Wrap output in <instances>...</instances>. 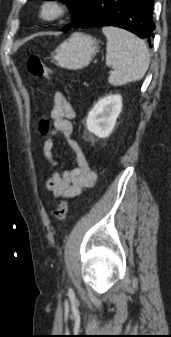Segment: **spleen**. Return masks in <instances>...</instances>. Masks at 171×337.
<instances>
[{
  "label": "spleen",
  "mask_w": 171,
  "mask_h": 337,
  "mask_svg": "<svg viewBox=\"0 0 171 337\" xmlns=\"http://www.w3.org/2000/svg\"><path fill=\"white\" fill-rule=\"evenodd\" d=\"M107 38L106 65L113 67L108 82L113 86L141 80L150 63L146 43L124 29L106 26L102 28Z\"/></svg>",
  "instance_id": "1"
}]
</instances>
